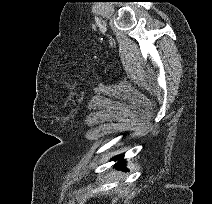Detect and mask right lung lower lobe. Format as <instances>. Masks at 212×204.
Listing matches in <instances>:
<instances>
[{"mask_svg":"<svg viewBox=\"0 0 212 204\" xmlns=\"http://www.w3.org/2000/svg\"><path fill=\"white\" fill-rule=\"evenodd\" d=\"M114 160H118V163L116 165L117 168L124 169V165H123L124 159H123V157L121 155L115 157Z\"/></svg>","mask_w":212,"mask_h":204,"instance_id":"1","label":"right lung lower lobe"}]
</instances>
